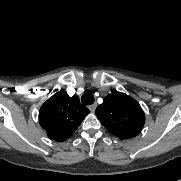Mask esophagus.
I'll use <instances>...</instances> for the list:
<instances>
[{
  "label": "esophagus",
  "mask_w": 181,
  "mask_h": 181,
  "mask_svg": "<svg viewBox=\"0 0 181 181\" xmlns=\"http://www.w3.org/2000/svg\"><path fill=\"white\" fill-rule=\"evenodd\" d=\"M96 107H97V104L94 103V104L90 105L88 108L91 112H94L96 110Z\"/></svg>",
  "instance_id": "esophagus-1"
}]
</instances>
